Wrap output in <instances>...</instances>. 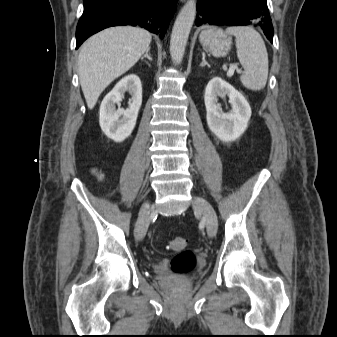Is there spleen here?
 <instances>
[{"label":"spleen","mask_w":337,"mask_h":337,"mask_svg":"<svg viewBox=\"0 0 337 337\" xmlns=\"http://www.w3.org/2000/svg\"><path fill=\"white\" fill-rule=\"evenodd\" d=\"M226 33L234 35L238 59L244 68L241 83L252 91L262 90L268 78V53L261 35L250 26H232Z\"/></svg>","instance_id":"obj_1"}]
</instances>
